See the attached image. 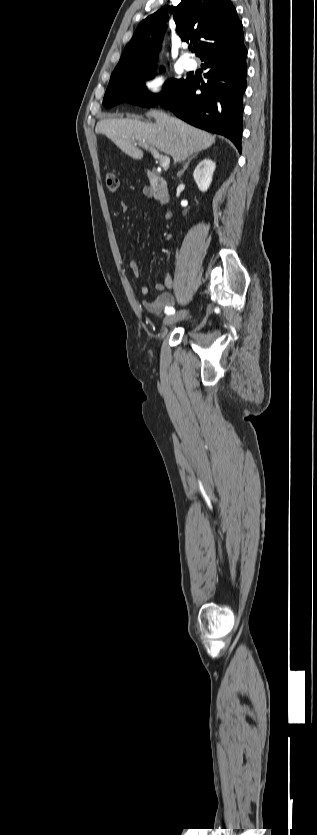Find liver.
<instances>
[{
	"instance_id": "6515ba94",
	"label": "liver",
	"mask_w": 317,
	"mask_h": 835,
	"mask_svg": "<svg viewBox=\"0 0 317 835\" xmlns=\"http://www.w3.org/2000/svg\"><path fill=\"white\" fill-rule=\"evenodd\" d=\"M146 115L153 117L155 123L133 118H106L97 123L95 132L104 134L134 159L143 157L137 144L156 147L170 155L174 162H183L188 156L206 150L215 143V136L163 111L151 110Z\"/></svg>"
}]
</instances>
